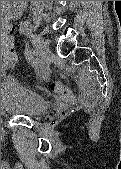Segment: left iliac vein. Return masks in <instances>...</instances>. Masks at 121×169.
Listing matches in <instances>:
<instances>
[{
  "mask_svg": "<svg viewBox=\"0 0 121 169\" xmlns=\"http://www.w3.org/2000/svg\"><path fill=\"white\" fill-rule=\"evenodd\" d=\"M34 45L37 49V51L39 52L40 56L43 59H47L50 55V49L48 48V46L46 45L45 41L43 40V38L39 35H35L34 39H33Z\"/></svg>",
  "mask_w": 121,
  "mask_h": 169,
  "instance_id": "left-iliac-vein-1",
  "label": "left iliac vein"
}]
</instances>
